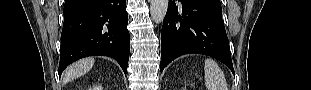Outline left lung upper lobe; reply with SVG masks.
<instances>
[{
  "instance_id": "left-lung-upper-lobe-1",
  "label": "left lung upper lobe",
  "mask_w": 311,
  "mask_h": 90,
  "mask_svg": "<svg viewBox=\"0 0 311 90\" xmlns=\"http://www.w3.org/2000/svg\"><path fill=\"white\" fill-rule=\"evenodd\" d=\"M208 1H211V2H213V3H215V4L220 5V0H208Z\"/></svg>"
}]
</instances>
